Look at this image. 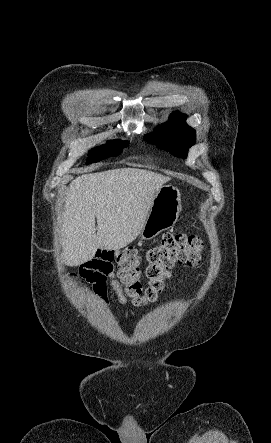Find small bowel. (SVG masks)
<instances>
[{"label": "small bowel", "instance_id": "small-bowel-1", "mask_svg": "<svg viewBox=\"0 0 271 443\" xmlns=\"http://www.w3.org/2000/svg\"><path fill=\"white\" fill-rule=\"evenodd\" d=\"M78 276L86 278L93 284L94 292L103 304L106 303L108 283L118 294L120 302L126 303L123 289L116 279L114 268L111 264H104L96 259H91L83 263L79 268L78 275H71L69 280L76 281Z\"/></svg>", "mask_w": 271, "mask_h": 443}]
</instances>
